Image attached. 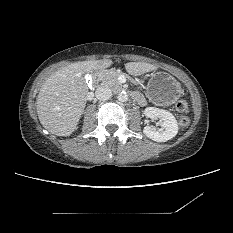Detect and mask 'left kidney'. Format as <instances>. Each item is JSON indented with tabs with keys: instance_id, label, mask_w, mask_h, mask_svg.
Here are the masks:
<instances>
[{
	"instance_id": "1",
	"label": "left kidney",
	"mask_w": 233,
	"mask_h": 233,
	"mask_svg": "<svg viewBox=\"0 0 233 233\" xmlns=\"http://www.w3.org/2000/svg\"><path fill=\"white\" fill-rule=\"evenodd\" d=\"M146 117L155 119L160 118L162 120L161 128L156 130L151 126H145L143 133L153 141L166 142L178 133V123L174 115L167 110L147 107L144 110Z\"/></svg>"
}]
</instances>
